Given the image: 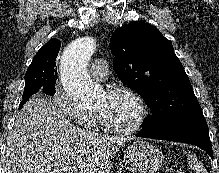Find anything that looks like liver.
I'll list each match as a JSON object with an SVG mask.
<instances>
[{
	"label": "liver",
	"mask_w": 219,
	"mask_h": 173,
	"mask_svg": "<svg viewBox=\"0 0 219 173\" xmlns=\"http://www.w3.org/2000/svg\"><path fill=\"white\" fill-rule=\"evenodd\" d=\"M127 139L80 129L40 95L19 111L6 144L5 173H109Z\"/></svg>",
	"instance_id": "obj_1"
}]
</instances>
